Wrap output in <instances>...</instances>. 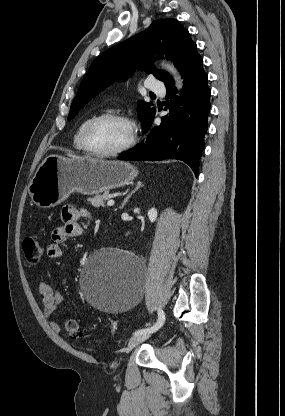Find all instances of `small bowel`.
<instances>
[{
	"label": "small bowel",
	"instance_id": "c3829d8e",
	"mask_svg": "<svg viewBox=\"0 0 285 416\" xmlns=\"http://www.w3.org/2000/svg\"><path fill=\"white\" fill-rule=\"evenodd\" d=\"M90 218V213L81 208L67 206L61 211L62 225L54 228L51 232L52 243L47 247V256L51 259L62 256L60 243L67 238L79 237L83 234V227L79 224L80 219ZM38 292L42 299L43 315L49 322L55 333L61 331L60 324L54 320L53 313L62 302L61 293L50 284L42 281L38 285Z\"/></svg>",
	"mask_w": 285,
	"mask_h": 416
}]
</instances>
